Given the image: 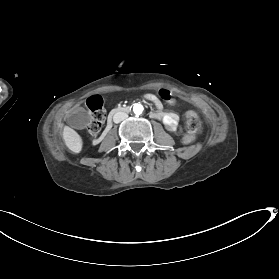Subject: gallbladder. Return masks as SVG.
<instances>
[{
	"label": "gallbladder",
	"instance_id": "obj_1",
	"mask_svg": "<svg viewBox=\"0 0 279 279\" xmlns=\"http://www.w3.org/2000/svg\"><path fill=\"white\" fill-rule=\"evenodd\" d=\"M91 115V112L89 109L84 108L80 111H77L75 113L72 114L70 122L72 124V126L79 128V127H83L85 125H87L88 121H89V117Z\"/></svg>",
	"mask_w": 279,
	"mask_h": 279
}]
</instances>
